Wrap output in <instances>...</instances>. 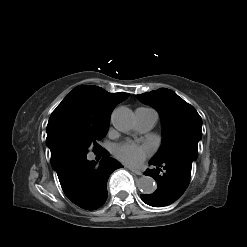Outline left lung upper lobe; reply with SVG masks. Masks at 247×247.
<instances>
[{
    "label": "left lung upper lobe",
    "mask_w": 247,
    "mask_h": 247,
    "mask_svg": "<svg viewBox=\"0 0 247 247\" xmlns=\"http://www.w3.org/2000/svg\"><path fill=\"white\" fill-rule=\"evenodd\" d=\"M160 113L163 123V141L154 160L181 157L190 162L198 155V142L202 137V119L195 108L174 91L160 88L137 95Z\"/></svg>",
    "instance_id": "left-lung-upper-lobe-1"
}]
</instances>
